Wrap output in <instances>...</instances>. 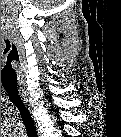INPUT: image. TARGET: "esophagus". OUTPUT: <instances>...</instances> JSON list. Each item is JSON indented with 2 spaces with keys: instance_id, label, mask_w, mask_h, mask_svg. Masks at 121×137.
<instances>
[{
  "instance_id": "34e87169",
  "label": "esophagus",
  "mask_w": 121,
  "mask_h": 137,
  "mask_svg": "<svg viewBox=\"0 0 121 137\" xmlns=\"http://www.w3.org/2000/svg\"><path fill=\"white\" fill-rule=\"evenodd\" d=\"M19 94H20V97L22 98L24 104L28 105V109L31 111V103L28 99L27 91L24 88L20 87Z\"/></svg>"
}]
</instances>
